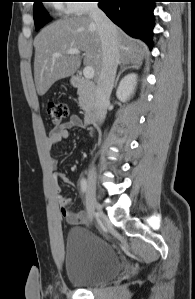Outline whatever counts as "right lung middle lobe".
<instances>
[{
    "mask_svg": "<svg viewBox=\"0 0 195 299\" xmlns=\"http://www.w3.org/2000/svg\"><path fill=\"white\" fill-rule=\"evenodd\" d=\"M49 20L50 18L42 5V0H34V22L36 30H39Z\"/></svg>",
    "mask_w": 195,
    "mask_h": 299,
    "instance_id": "1",
    "label": "right lung middle lobe"
}]
</instances>
